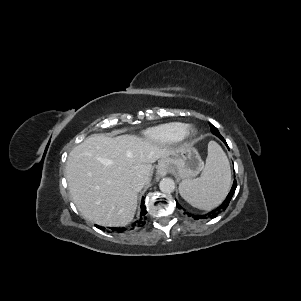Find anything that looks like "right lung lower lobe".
Instances as JSON below:
<instances>
[{"label": "right lung lower lobe", "instance_id": "1", "mask_svg": "<svg viewBox=\"0 0 301 301\" xmlns=\"http://www.w3.org/2000/svg\"><path fill=\"white\" fill-rule=\"evenodd\" d=\"M147 213L146 211V207L144 206V198L142 199V202H141V217L138 221H136L135 223L132 224V228H134V226L138 225V226H143L145 224V214ZM97 228H102L101 226H98L96 225ZM111 232H118V233H121L124 231L123 228H110Z\"/></svg>", "mask_w": 301, "mask_h": 301}]
</instances>
